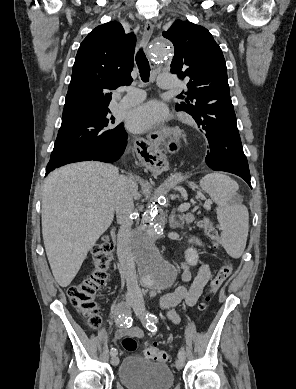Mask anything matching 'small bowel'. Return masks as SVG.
Returning <instances> with one entry per match:
<instances>
[{"label": "small bowel", "instance_id": "obj_1", "mask_svg": "<svg viewBox=\"0 0 296 389\" xmlns=\"http://www.w3.org/2000/svg\"><path fill=\"white\" fill-rule=\"evenodd\" d=\"M191 242L199 245L197 239H191ZM182 280L184 285L178 286L174 291L164 295L161 299V307L167 311V317L174 324H179L180 316L174 311V307L184 302L186 305L194 306L199 297L201 296L204 287L208 283L211 277L210 266L207 263H203L197 274L193 277L189 266L186 263H182ZM125 335H129L135 338H141L143 332L140 328L134 326H124L116 332V339H120Z\"/></svg>", "mask_w": 296, "mask_h": 389}]
</instances>
